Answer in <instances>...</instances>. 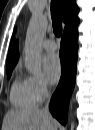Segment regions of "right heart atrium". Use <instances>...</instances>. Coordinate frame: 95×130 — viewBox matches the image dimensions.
I'll return each instance as SVG.
<instances>
[{
	"label": "right heart atrium",
	"mask_w": 95,
	"mask_h": 130,
	"mask_svg": "<svg viewBox=\"0 0 95 130\" xmlns=\"http://www.w3.org/2000/svg\"><path fill=\"white\" fill-rule=\"evenodd\" d=\"M27 81L37 102H41L49 95L50 87L43 77L30 76Z\"/></svg>",
	"instance_id": "1"
}]
</instances>
